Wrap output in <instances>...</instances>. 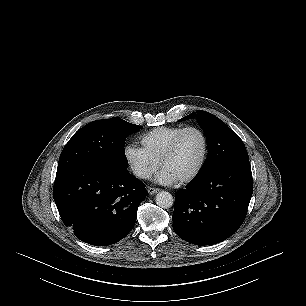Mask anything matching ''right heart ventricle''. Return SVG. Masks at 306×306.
Returning <instances> with one entry per match:
<instances>
[{"mask_svg":"<svg viewBox=\"0 0 306 306\" xmlns=\"http://www.w3.org/2000/svg\"><path fill=\"white\" fill-rule=\"evenodd\" d=\"M183 128L180 126L154 128L141 136V144L156 161L160 162L173 139Z\"/></svg>","mask_w":306,"mask_h":306,"instance_id":"obj_1","label":"right heart ventricle"}]
</instances>
